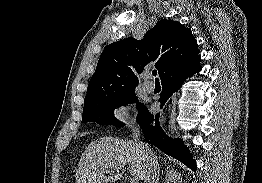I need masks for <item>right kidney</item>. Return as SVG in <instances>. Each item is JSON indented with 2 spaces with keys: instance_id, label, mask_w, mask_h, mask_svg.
<instances>
[{
  "instance_id": "right-kidney-1",
  "label": "right kidney",
  "mask_w": 262,
  "mask_h": 183,
  "mask_svg": "<svg viewBox=\"0 0 262 183\" xmlns=\"http://www.w3.org/2000/svg\"><path fill=\"white\" fill-rule=\"evenodd\" d=\"M165 183H182V178L180 174L175 171H169V175L166 177Z\"/></svg>"
}]
</instances>
